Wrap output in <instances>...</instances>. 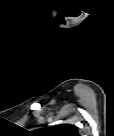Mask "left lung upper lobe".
<instances>
[{"label": "left lung upper lobe", "mask_w": 114, "mask_h": 136, "mask_svg": "<svg viewBox=\"0 0 114 136\" xmlns=\"http://www.w3.org/2000/svg\"><path fill=\"white\" fill-rule=\"evenodd\" d=\"M41 136H79L78 129L75 125L60 124L41 129Z\"/></svg>", "instance_id": "left-lung-upper-lobe-1"}]
</instances>
